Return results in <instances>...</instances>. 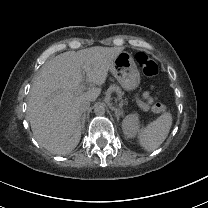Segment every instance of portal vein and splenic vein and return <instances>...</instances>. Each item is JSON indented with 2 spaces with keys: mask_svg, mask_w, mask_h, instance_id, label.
Segmentation results:
<instances>
[{
  "mask_svg": "<svg viewBox=\"0 0 208 208\" xmlns=\"http://www.w3.org/2000/svg\"><path fill=\"white\" fill-rule=\"evenodd\" d=\"M84 78L86 79L85 84L88 85V87H91V84H90L91 78L89 77V75L85 74ZM84 90H86V86L85 85H80L79 86V91L83 92ZM112 93L116 95V98H117L116 103L119 104V107H122V104H120V103H121V99H122L123 93L121 92L119 87L115 86L112 89Z\"/></svg>",
  "mask_w": 208,
  "mask_h": 208,
  "instance_id": "18ae733b",
  "label": "portal vein and splenic vein"
}]
</instances>
